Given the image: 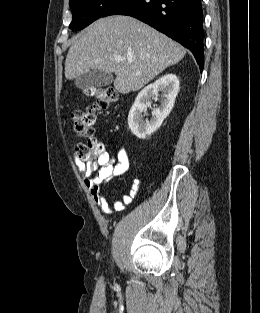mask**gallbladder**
Returning a JSON list of instances; mask_svg holds the SVG:
<instances>
[{
  "label": "gallbladder",
  "instance_id": "gallbladder-1",
  "mask_svg": "<svg viewBox=\"0 0 260 313\" xmlns=\"http://www.w3.org/2000/svg\"><path fill=\"white\" fill-rule=\"evenodd\" d=\"M114 80L112 74L98 70H90L89 72L79 76L75 80V85L79 89L100 88L110 85Z\"/></svg>",
  "mask_w": 260,
  "mask_h": 313
}]
</instances>
